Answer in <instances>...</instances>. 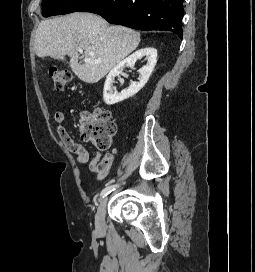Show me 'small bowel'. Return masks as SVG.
Here are the masks:
<instances>
[{
	"mask_svg": "<svg viewBox=\"0 0 255 272\" xmlns=\"http://www.w3.org/2000/svg\"><path fill=\"white\" fill-rule=\"evenodd\" d=\"M64 120L65 117L62 112L55 113L54 121L56 131L65 147L76 156L79 163L88 164L89 171L95 172L98 180L104 179L114 162L116 150L106 153L105 155H102L100 152H95L93 158L90 159L89 151L82 144L74 141L70 136L64 125Z\"/></svg>",
	"mask_w": 255,
	"mask_h": 272,
	"instance_id": "c3829d8e",
	"label": "small bowel"
}]
</instances>
